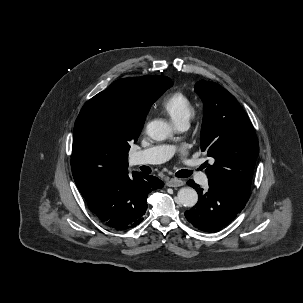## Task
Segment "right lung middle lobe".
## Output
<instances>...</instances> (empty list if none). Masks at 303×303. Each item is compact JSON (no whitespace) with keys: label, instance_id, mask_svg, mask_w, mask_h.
Segmentation results:
<instances>
[{"label":"right lung middle lobe","instance_id":"1","mask_svg":"<svg viewBox=\"0 0 303 303\" xmlns=\"http://www.w3.org/2000/svg\"><path fill=\"white\" fill-rule=\"evenodd\" d=\"M130 141L131 140H127L126 138H120L118 140V144L120 146H122L125 150L128 151L130 149V145H129ZM73 177H74V180H75L78 188H80L81 186H83L86 183V176H85V174H83L81 172L73 171Z\"/></svg>","mask_w":303,"mask_h":303}]
</instances>
